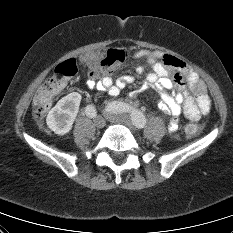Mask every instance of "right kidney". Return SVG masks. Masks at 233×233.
Here are the masks:
<instances>
[{
	"mask_svg": "<svg viewBox=\"0 0 233 233\" xmlns=\"http://www.w3.org/2000/svg\"><path fill=\"white\" fill-rule=\"evenodd\" d=\"M81 95L72 92L60 99L47 115L48 127L58 135H65L71 129L78 114Z\"/></svg>",
	"mask_w": 233,
	"mask_h": 233,
	"instance_id": "1",
	"label": "right kidney"
}]
</instances>
